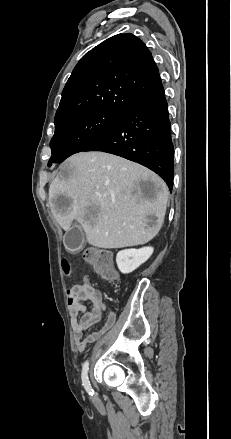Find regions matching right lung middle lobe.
Wrapping results in <instances>:
<instances>
[{
	"label": "right lung middle lobe",
	"mask_w": 231,
	"mask_h": 439,
	"mask_svg": "<svg viewBox=\"0 0 231 439\" xmlns=\"http://www.w3.org/2000/svg\"><path fill=\"white\" fill-rule=\"evenodd\" d=\"M122 115L104 109H90L55 118V133L50 143L52 156L48 166L84 151L117 123Z\"/></svg>",
	"instance_id": "obj_1"
}]
</instances>
